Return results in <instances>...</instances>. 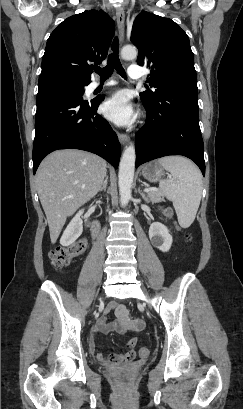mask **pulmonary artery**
<instances>
[{
    "label": "pulmonary artery",
    "mask_w": 243,
    "mask_h": 409,
    "mask_svg": "<svg viewBox=\"0 0 243 409\" xmlns=\"http://www.w3.org/2000/svg\"><path fill=\"white\" fill-rule=\"evenodd\" d=\"M128 74H129V77H130V78L136 79V80L141 79V77H142V75H143V73H142V71L140 70L139 67H131V68L129 69V71H128ZM115 84H116L115 81H109V82H107V83H105V84H100V83L97 82V81H93V82L90 84V87H89V88H90L91 90H94V89L99 88V87L113 86V85H115Z\"/></svg>",
    "instance_id": "e3ab8cb5"
}]
</instances>
